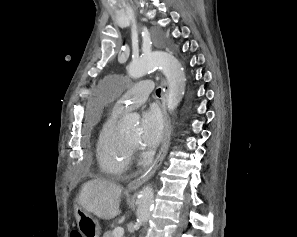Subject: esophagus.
Wrapping results in <instances>:
<instances>
[{
    "label": "esophagus",
    "mask_w": 297,
    "mask_h": 237,
    "mask_svg": "<svg viewBox=\"0 0 297 237\" xmlns=\"http://www.w3.org/2000/svg\"><path fill=\"white\" fill-rule=\"evenodd\" d=\"M162 112L164 117V131H163V141H162L160 151L153 165L149 169L145 170L140 177L128 183L127 189L130 191L138 189L143 183H145L150 177L154 175L156 170L162 164V161L169 150L171 135H172V126H171L170 117L167 114V110H166L165 92L162 95Z\"/></svg>",
    "instance_id": "obj_1"
}]
</instances>
